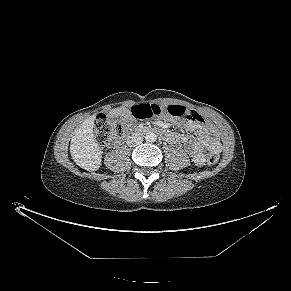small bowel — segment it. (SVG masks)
I'll use <instances>...</instances> for the list:
<instances>
[{"instance_id": "small-bowel-1", "label": "small bowel", "mask_w": 291, "mask_h": 291, "mask_svg": "<svg viewBox=\"0 0 291 291\" xmlns=\"http://www.w3.org/2000/svg\"><path fill=\"white\" fill-rule=\"evenodd\" d=\"M119 114L127 118L129 111L121 109ZM152 125L160 131L167 141L181 142L187 145L191 150L193 159L199 164L204 162L203 152L205 150L219 149L220 142L217 132L198 114L196 118H187L185 121H177L175 118L154 120ZM177 125L181 128L178 132L168 130L169 127Z\"/></svg>"}]
</instances>
